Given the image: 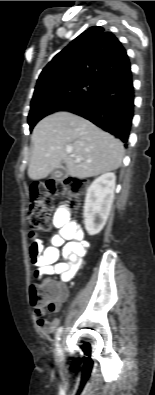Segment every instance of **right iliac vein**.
<instances>
[{"mask_svg": "<svg viewBox=\"0 0 155 395\" xmlns=\"http://www.w3.org/2000/svg\"><path fill=\"white\" fill-rule=\"evenodd\" d=\"M57 355H58V359H59L60 361H63V359H64V353H63V349H62L61 344H59V346H58V348H57Z\"/></svg>", "mask_w": 155, "mask_h": 395, "instance_id": "right-iliac-vein-1", "label": "right iliac vein"}]
</instances>
